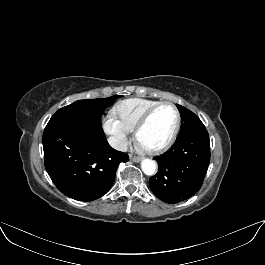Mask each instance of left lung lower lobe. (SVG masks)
I'll return each instance as SVG.
<instances>
[{
	"label": "left lung lower lobe",
	"instance_id": "obj_1",
	"mask_svg": "<svg viewBox=\"0 0 265 265\" xmlns=\"http://www.w3.org/2000/svg\"><path fill=\"white\" fill-rule=\"evenodd\" d=\"M154 159L158 172L149 180L154 195L171 204L192 197L201 188L210 163L209 134L205 126L177 137L168 151Z\"/></svg>",
	"mask_w": 265,
	"mask_h": 265
}]
</instances>
